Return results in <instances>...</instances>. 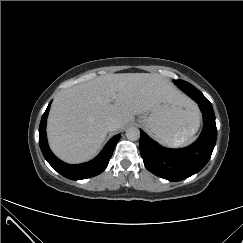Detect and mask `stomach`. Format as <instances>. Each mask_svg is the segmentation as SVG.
<instances>
[{"label":"stomach","mask_w":243,"mask_h":243,"mask_svg":"<svg viewBox=\"0 0 243 243\" xmlns=\"http://www.w3.org/2000/svg\"><path fill=\"white\" fill-rule=\"evenodd\" d=\"M138 122L161 143L173 145L193 136L199 127V113L191 101L188 105L160 103L141 115Z\"/></svg>","instance_id":"obj_1"}]
</instances>
